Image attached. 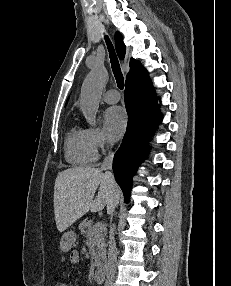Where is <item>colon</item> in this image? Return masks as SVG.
Instances as JSON below:
<instances>
[{"mask_svg": "<svg viewBox=\"0 0 231 286\" xmlns=\"http://www.w3.org/2000/svg\"><path fill=\"white\" fill-rule=\"evenodd\" d=\"M54 286H71L69 282L66 281H57Z\"/></svg>", "mask_w": 231, "mask_h": 286, "instance_id": "obj_1", "label": "colon"}]
</instances>
